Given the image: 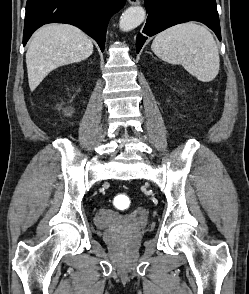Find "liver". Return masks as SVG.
<instances>
[{
    "label": "liver",
    "instance_id": "1",
    "mask_svg": "<svg viewBox=\"0 0 249 294\" xmlns=\"http://www.w3.org/2000/svg\"><path fill=\"white\" fill-rule=\"evenodd\" d=\"M93 52L88 36L72 25L51 24L38 29L26 53L28 83L34 91L54 69L87 59Z\"/></svg>",
    "mask_w": 249,
    "mask_h": 294
}]
</instances>
